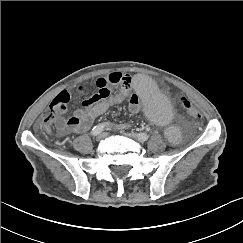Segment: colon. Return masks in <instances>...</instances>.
<instances>
[{
	"label": "colon",
	"mask_w": 243,
	"mask_h": 243,
	"mask_svg": "<svg viewBox=\"0 0 243 243\" xmlns=\"http://www.w3.org/2000/svg\"><path fill=\"white\" fill-rule=\"evenodd\" d=\"M69 102V95L66 91L60 92L52 101L49 109L46 110L42 119L41 127L46 132L52 131L53 123L56 120L58 113L66 111L67 104ZM180 103L183 110L191 117L198 118L200 113L198 109L191 102V98L188 95H183L180 98Z\"/></svg>",
	"instance_id": "colon-1"
}]
</instances>
